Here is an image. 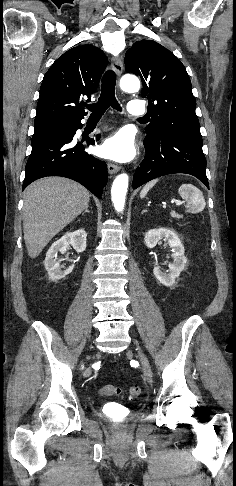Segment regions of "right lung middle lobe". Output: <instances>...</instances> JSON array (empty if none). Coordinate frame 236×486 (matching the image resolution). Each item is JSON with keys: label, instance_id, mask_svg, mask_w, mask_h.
Wrapping results in <instances>:
<instances>
[{"label": "right lung middle lobe", "instance_id": "1", "mask_svg": "<svg viewBox=\"0 0 236 486\" xmlns=\"http://www.w3.org/2000/svg\"><path fill=\"white\" fill-rule=\"evenodd\" d=\"M49 124H45V125H38V126H35V130L34 132H38V131H42L44 130Z\"/></svg>", "mask_w": 236, "mask_h": 486}]
</instances>
